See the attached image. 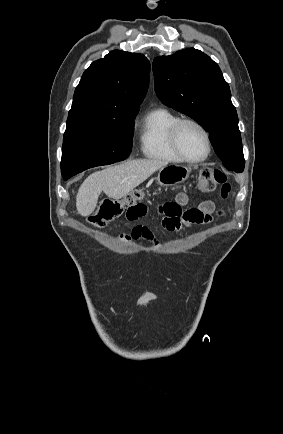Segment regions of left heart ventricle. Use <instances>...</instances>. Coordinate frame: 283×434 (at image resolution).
<instances>
[{
	"label": "left heart ventricle",
	"instance_id": "left-heart-ventricle-1",
	"mask_svg": "<svg viewBox=\"0 0 283 434\" xmlns=\"http://www.w3.org/2000/svg\"><path fill=\"white\" fill-rule=\"evenodd\" d=\"M178 140L182 152L188 158H200L206 152L205 138L202 132L192 124H185L180 128Z\"/></svg>",
	"mask_w": 283,
	"mask_h": 434
}]
</instances>
